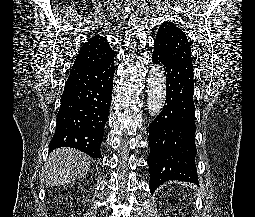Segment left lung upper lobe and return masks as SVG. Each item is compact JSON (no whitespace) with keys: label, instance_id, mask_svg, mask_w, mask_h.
<instances>
[{"label":"left lung upper lobe","instance_id":"1","mask_svg":"<svg viewBox=\"0 0 255 217\" xmlns=\"http://www.w3.org/2000/svg\"><path fill=\"white\" fill-rule=\"evenodd\" d=\"M182 29L170 22H164L158 29L154 47L173 56L175 59L192 65L191 47Z\"/></svg>","mask_w":255,"mask_h":217}]
</instances>
